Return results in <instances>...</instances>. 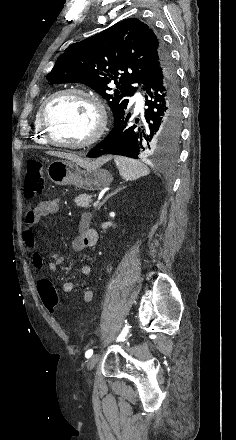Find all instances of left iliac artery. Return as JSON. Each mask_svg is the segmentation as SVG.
I'll return each instance as SVG.
<instances>
[{
  "label": "left iliac artery",
  "instance_id": "44dca946",
  "mask_svg": "<svg viewBox=\"0 0 236 440\" xmlns=\"http://www.w3.org/2000/svg\"><path fill=\"white\" fill-rule=\"evenodd\" d=\"M129 328H130V326L126 321L125 327L123 328L122 332L120 333V335L117 338L118 342L124 340V338L127 336L128 332H129ZM92 354H93V350L89 349L86 351L85 357L90 358L92 356Z\"/></svg>",
  "mask_w": 236,
  "mask_h": 440
}]
</instances>
